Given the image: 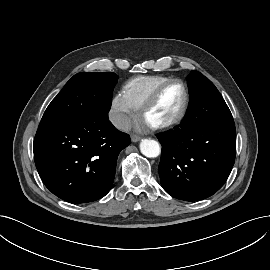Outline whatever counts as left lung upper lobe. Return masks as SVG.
Returning a JSON list of instances; mask_svg holds the SVG:
<instances>
[{"mask_svg":"<svg viewBox=\"0 0 270 270\" xmlns=\"http://www.w3.org/2000/svg\"><path fill=\"white\" fill-rule=\"evenodd\" d=\"M189 105L194 117L203 123L233 121L232 114L214 84L200 72L192 71L187 77Z\"/></svg>","mask_w":270,"mask_h":270,"instance_id":"1","label":"left lung upper lobe"}]
</instances>
